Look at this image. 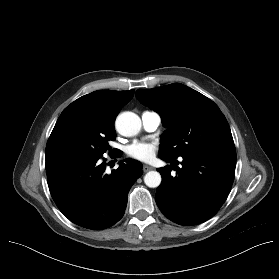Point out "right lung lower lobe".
Masks as SVG:
<instances>
[{
    "instance_id": "obj_1",
    "label": "right lung lower lobe",
    "mask_w": 279,
    "mask_h": 279,
    "mask_svg": "<svg viewBox=\"0 0 279 279\" xmlns=\"http://www.w3.org/2000/svg\"><path fill=\"white\" fill-rule=\"evenodd\" d=\"M119 164L118 169L107 174L101 157L46 162L49 190L59 210L73 223L93 230L108 228L119 221L125 212L128 192L143 173L138 161L126 159Z\"/></svg>"
}]
</instances>
